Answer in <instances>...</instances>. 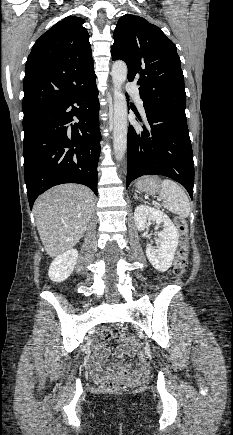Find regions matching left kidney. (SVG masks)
<instances>
[{
	"label": "left kidney",
	"instance_id": "obj_1",
	"mask_svg": "<svg viewBox=\"0 0 233 435\" xmlns=\"http://www.w3.org/2000/svg\"><path fill=\"white\" fill-rule=\"evenodd\" d=\"M134 221L139 231H144L148 227L147 221L156 222L157 225L163 223V230L157 233L162 240L160 247L155 249L147 244L146 255L156 270L160 272L168 270L178 245L179 232L176 226L164 212L146 205L136 207Z\"/></svg>",
	"mask_w": 233,
	"mask_h": 435
}]
</instances>
